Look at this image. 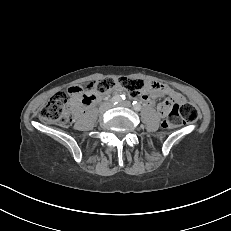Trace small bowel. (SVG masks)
<instances>
[{
	"instance_id": "c3829d8e",
	"label": "small bowel",
	"mask_w": 231,
	"mask_h": 231,
	"mask_svg": "<svg viewBox=\"0 0 231 231\" xmlns=\"http://www.w3.org/2000/svg\"><path fill=\"white\" fill-rule=\"evenodd\" d=\"M148 86H149V88L153 89L154 92L153 93L145 92V93H143V95L141 97L142 100L144 102H146L148 105H154V101L152 99V97L154 95L163 94V95L168 96V99H169L168 101L163 102V103L158 105V111L160 112L161 115H165V111L167 110L168 104L170 102L183 103L184 100H185L184 97L181 94H179L178 92L173 91L172 89H170L167 86L160 85V84H157V83H151V82L148 83ZM76 89H77V91H75ZM69 91L72 93L73 99L79 104V106L77 108V110L79 112L80 111V106L83 105V99H84L83 89L81 87H79V86H73V87H71L69 89ZM113 91L114 92H120L121 88L120 87H115V88H113ZM98 99H100V96L96 95L93 102H95Z\"/></svg>"
}]
</instances>
